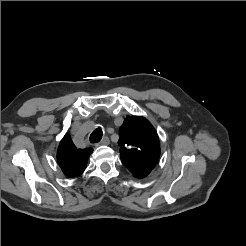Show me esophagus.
<instances>
[{
  "instance_id": "1",
  "label": "esophagus",
  "mask_w": 246,
  "mask_h": 246,
  "mask_svg": "<svg viewBox=\"0 0 246 246\" xmlns=\"http://www.w3.org/2000/svg\"><path fill=\"white\" fill-rule=\"evenodd\" d=\"M110 143L108 137H104L97 145H108Z\"/></svg>"
}]
</instances>
